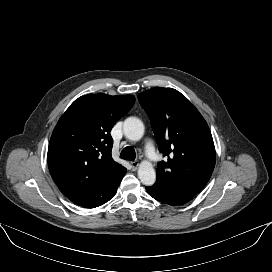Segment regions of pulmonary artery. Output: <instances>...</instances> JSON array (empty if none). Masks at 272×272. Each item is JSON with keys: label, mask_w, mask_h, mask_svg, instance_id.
I'll use <instances>...</instances> for the list:
<instances>
[{"label": "pulmonary artery", "mask_w": 272, "mask_h": 272, "mask_svg": "<svg viewBox=\"0 0 272 272\" xmlns=\"http://www.w3.org/2000/svg\"><path fill=\"white\" fill-rule=\"evenodd\" d=\"M145 151L148 156V158L152 161H157L158 160V155L155 152V149L153 147V144L149 141L145 145Z\"/></svg>", "instance_id": "e3ab8cb5"}]
</instances>
